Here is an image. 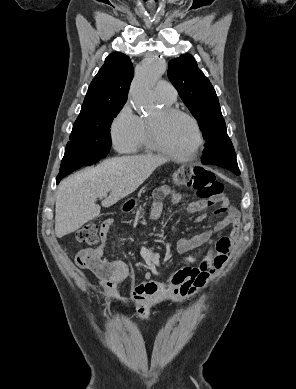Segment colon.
Masks as SVG:
<instances>
[{
  "mask_svg": "<svg viewBox=\"0 0 296 389\" xmlns=\"http://www.w3.org/2000/svg\"><path fill=\"white\" fill-rule=\"evenodd\" d=\"M173 180L178 186L192 188L200 200L209 204L222 200L223 184L216 179L211 171L205 168L182 167L174 173ZM99 235L96 223L88 222L78 229L76 238L81 243L95 246L99 242Z\"/></svg>",
  "mask_w": 296,
  "mask_h": 389,
  "instance_id": "1",
  "label": "colon"
}]
</instances>
